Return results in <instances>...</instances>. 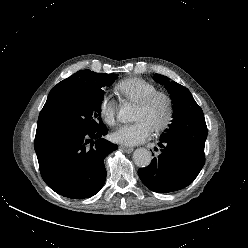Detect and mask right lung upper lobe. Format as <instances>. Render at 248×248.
I'll use <instances>...</instances> for the list:
<instances>
[{"label": "right lung upper lobe", "instance_id": "obj_1", "mask_svg": "<svg viewBox=\"0 0 248 248\" xmlns=\"http://www.w3.org/2000/svg\"><path fill=\"white\" fill-rule=\"evenodd\" d=\"M84 71H79L69 78L58 83L49 93L47 103L64 97L73 90L79 88L80 83L84 80Z\"/></svg>", "mask_w": 248, "mask_h": 248}]
</instances>
